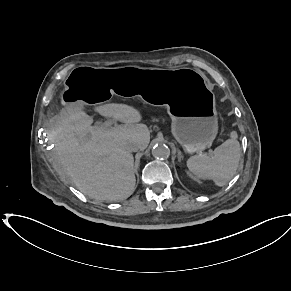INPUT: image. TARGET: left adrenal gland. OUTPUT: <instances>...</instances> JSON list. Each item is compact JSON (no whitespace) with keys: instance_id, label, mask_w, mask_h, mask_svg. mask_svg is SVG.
I'll use <instances>...</instances> for the list:
<instances>
[{"instance_id":"1","label":"left adrenal gland","mask_w":291,"mask_h":291,"mask_svg":"<svg viewBox=\"0 0 291 291\" xmlns=\"http://www.w3.org/2000/svg\"><path fill=\"white\" fill-rule=\"evenodd\" d=\"M183 158V156L181 155V152H178V160L181 161V159Z\"/></svg>"}]
</instances>
